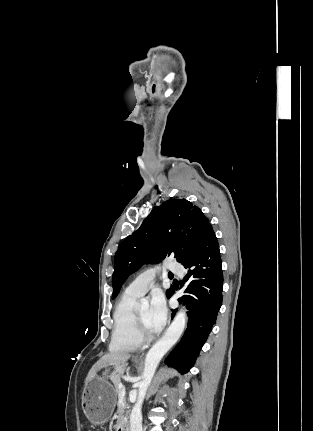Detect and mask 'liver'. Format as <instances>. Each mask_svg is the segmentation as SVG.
<instances>
[{
	"label": "liver",
	"instance_id": "6515ba94",
	"mask_svg": "<svg viewBox=\"0 0 313 431\" xmlns=\"http://www.w3.org/2000/svg\"><path fill=\"white\" fill-rule=\"evenodd\" d=\"M130 354L126 352H111L102 356L90 369L85 382L93 379L97 372L107 366H113L115 373H122Z\"/></svg>",
	"mask_w": 313,
	"mask_h": 431
}]
</instances>
